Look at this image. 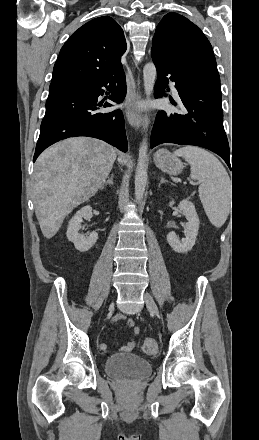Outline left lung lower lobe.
<instances>
[{
	"mask_svg": "<svg viewBox=\"0 0 259 440\" xmlns=\"http://www.w3.org/2000/svg\"><path fill=\"white\" fill-rule=\"evenodd\" d=\"M152 59L157 69L155 97H163L170 79L176 83L182 106L188 113L158 112L151 133V148L162 143L200 146L221 156L230 167L220 80L202 73L183 74L156 54H152Z\"/></svg>",
	"mask_w": 259,
	"mask_h": 440,
	"instance_id": "1",
	"label": "left lung lower lobe"
}]
</instances>
